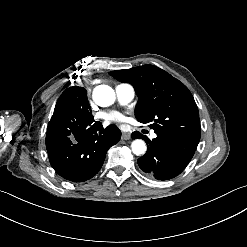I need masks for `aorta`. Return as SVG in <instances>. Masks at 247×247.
I'll return each mask as SVG.
<instances>
[{
    "label": "aorta",
    "instance_id": "obj_1",
    "mask_svg": "<svg viewBox=\"0 0 247 247\" xmlns=\"http://www.w3.org/2000/svg\"><path fill=\"white\" fill-rule=\"evenodd\" d=\"M94 102L101 107H108L115 101V92L108 85H98L92 94ZM132 152L135 155L144 154L147 150L146 144L141 139H136L131 144Z\"/></svg>",
    "mask_w": 247,
    "mask_h": 247
}]
</instances>
